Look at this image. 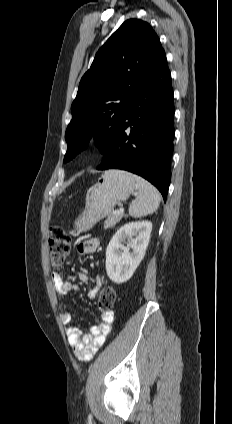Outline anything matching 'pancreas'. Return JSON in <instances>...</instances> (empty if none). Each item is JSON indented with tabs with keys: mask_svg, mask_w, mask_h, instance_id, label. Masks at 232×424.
I'll return each mask as SVG.
<instances>
[{
	"mask_svg": "<svg viewBox=\"0 0 232 424\" xmlns=\"http://www.w3.org/2000/svg\"><path fill=\"white\" fill-rule=\"evenodd\" d=\"M123 216V213H116V211H112L104 222V228H112L122 219Z\"/></svg>",
	"mask_w": 232,
	"mask_h": 424,
	"instance_id": "1",
	"label": "pancreas"
}]
</instances>
